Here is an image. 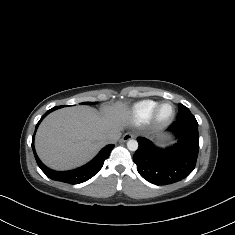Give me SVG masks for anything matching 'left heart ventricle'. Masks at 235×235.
I'll use <instances>...</instances> for the list:
<instances>
[{"instance_id": "1", "label": "left heart ventricle", "mask_w": 235, "mask_h": 235, "mask_svg": "<svg viewBox=\"0 0 235 235\" xmlns=\"http://www.w3.org/2000/svg\"><path fill=\"white\" fill-rule=\"evenodd\" d=\"M173 114V106L171 103L164 104L159 111V115L161 119H168Z\"/></svg>"}]
</instances>
